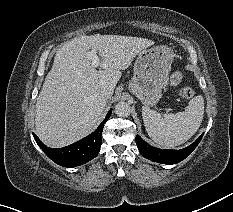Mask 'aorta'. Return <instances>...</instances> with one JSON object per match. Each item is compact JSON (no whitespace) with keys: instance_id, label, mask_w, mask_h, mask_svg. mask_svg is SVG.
<instances>
[{"instance_id":"aorta-1","label":"aorta","mask_w":233,"mask_h":212,"mask_svg":"<svg viewBox=\"0 0 233 212\" xmlns=\"http://www.w3.org/2000/svg\"><path fill=\"white\" fill-rule=\"evenodd\" d=\"M115 113L119 117H127L131 113V107L127 102H119L115 106Z\"/></svg>"}]
</instances>
